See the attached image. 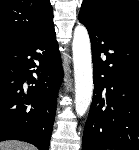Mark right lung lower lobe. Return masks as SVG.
<instances>
[{
    "label": "right lung lower lobe",
    "instance_id": "98d812e1",
    "mask_svg": "<svg viewBox=\"0 0 139 150\" xmlns=\"http://www.w3.org/2000/svg\"><path fill=\"white\" fill-rule=\"evenodd\" d=\"M62 77L53 21L33 38L0 50V141L49 150Z\"/></svg>",
    "mask_w": 139,
    "mask_h": 150
}]
</instances>
